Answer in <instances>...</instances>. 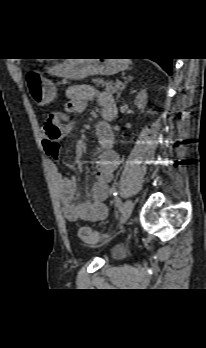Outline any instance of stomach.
<instances>
[{
	"label": "stomach",
	"mask_w": 206,
	"mask_h": 348,
	"mask_svg": "<svg viewBox=\"0 0 206 348\" xmlns=\"http://www.w3.org/2000/svg\"><path fill=\"white\" fill-rule=\"evenodd\" d=\"M127 68V63L119 59H67L62 64L48 67L47 73L57 77L81 80L91 75L110 76ZM50 99L42 97L37 103L44 106Z\"/></svg>",
	"instance_id": "stomach-1"
}]
</instances>
